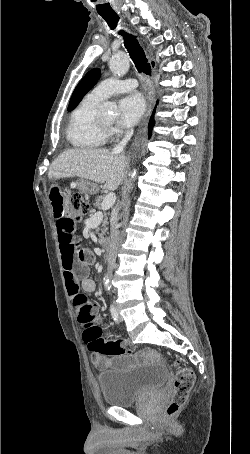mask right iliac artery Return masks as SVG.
Masks as SVG:
<instances>
[{"instance_id": "82829eb1", "label": "right iliac artery", "mask_w": 250, "mask_h": 454, "mask_svg": "<svg viewBox=\"0 0 250 454\" xmlns=\"http://www.w3.org/2000/svg\"><path fill=\"white\" fill-rule=\"evenodd\" d=\"M110 312H111L113 320L118 323L119 322L118 313L116 311V308L113 305L110 306Z\"/></svg>"}]
</instances>
